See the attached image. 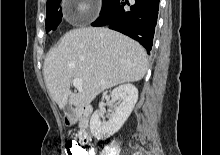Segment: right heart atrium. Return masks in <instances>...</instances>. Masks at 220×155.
Wrapping results in <instances>:
<instances>
[{"instance_id": "1", "label": "right heart atrium", "mask_w": 220, "mask_h": 155, "mask_svg": "<svg viewBox=\"0 0 220 155\" xmlns=\"http://www.w3.org/2000/svg\"><path fill=\"white\" fill-rule=\"evenodd\" d=\"M97 16V7L94 0H78L74 6L73 20L77 23H85Z\"/></svg>"}]
</instances>
